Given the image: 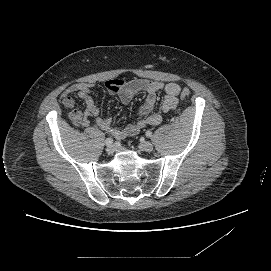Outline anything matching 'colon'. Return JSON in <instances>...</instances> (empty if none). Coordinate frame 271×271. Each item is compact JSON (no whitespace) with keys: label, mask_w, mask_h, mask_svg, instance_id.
Listing matches in <instances>:
<instances>
[{"label":"colon","mask_w":271,"mask_h":271,"mask_svg":"<svg viewBox=\"0 0 271 271\" xmlns=\"http://www.w3.org/2000/svg\"><path fill=\"white\" fill-rule=\"evenodd\" d=\"M189 95H190V90L188 88H184L180 92V98L181 99H186V98L189 97Z\"/></svg>","instance_id":"5ec220e1"}]
</instances>
